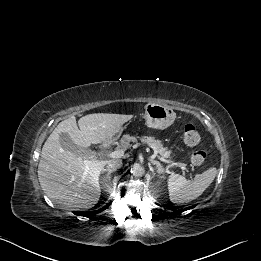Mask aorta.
<instances>
[{
	"mask_svg": "<svg viewBox=\"0 0 261 261\" xmlns=\"http://www.w3.org/2000/svg\"><path fill=\"white\" fill-rule=\"evenodd\" d=\"M131 172L135 175H142L144 173V168L142 165L138 164V163H134L131 166Z\"/></svg>",
	"mask_w": 261,
	"mask_h": 261,
	"instance_id": "obj_1",
	"label": "aorta"
}]
</instances>
